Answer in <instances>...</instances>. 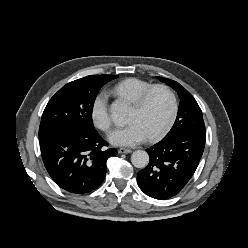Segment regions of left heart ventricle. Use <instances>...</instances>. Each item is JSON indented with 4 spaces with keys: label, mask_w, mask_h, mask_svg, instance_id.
I'll return each instance as SVG.
<instances>
[{
    "label": "left heart ventricle",
    "mask_w": 248,
    "mask_h": 248,
    "mask_svg": "<svg viewBox=\"0 0 248 248\" xmlns=\"http://www.w3.org/2000/svg\"><path fill=\"white\" fill-rule=\"evenodd\" d=\"M170 98L163 90L154 91L142 109L131 107L128 122H137L148 136L155 133L165 122L170 112Z\"/></svg>",
    "instance_id": "b2bd125f"
}]
</instances>
